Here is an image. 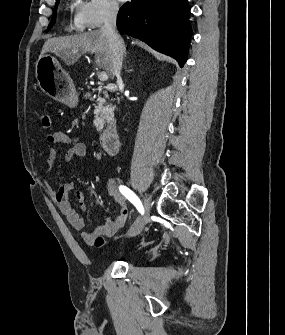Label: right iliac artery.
I'll return each instance as SVG.
<instances>
[{"label": "right iliac artery", "mask_w": 285, "mask_h": 335, "mask_svg": "<svg viewBox=\"0 0 285 335\" xmlns=\"http://www.w3.org/2000/svg\"><path fill=\"white\" fill-rule=\"evenodd\" d=\"M119 191L137 208V210L141 213L144 214V208L139 200V198L134 194L133 191H131L129 188H127L124 185H121L119 187Z\"/></svg>", "instance_id": "obj_1"}]
</instances>
